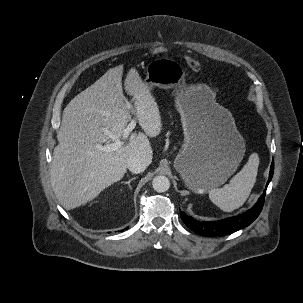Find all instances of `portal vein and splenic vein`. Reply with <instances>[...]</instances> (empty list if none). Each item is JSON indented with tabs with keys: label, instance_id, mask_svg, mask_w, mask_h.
<instances>
[{
	"label": "portal vein and splenic vein",
	"instance_id": "18ae733b",
	"mask_svg": "<svg viewBox=\"0 0 303 303\" xmlns=\"http://www.w3.org/2000/svg\"><path fill=\"white\" fill-rule=\"evenodd\" d=\"M126 105H127L128 108H131L130 104H126ZM135 126H136V121L133 119L128 124V126L124 129V131H123V139L128 138L129 134L135 128ZM123 143H124L123 141L114 139V142L111 143V144H107V145L97 144L96 147L99 150L104 151V152H113V151H116L117 149H119L123 145Z\"/></svg>",
	"mask_w": 303,
	"mask_h": 303
}]
</instances>
